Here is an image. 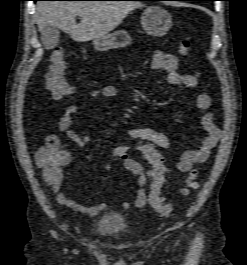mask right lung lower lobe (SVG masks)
<instances>
[{
    "label": "right lung lower lobe",
    "instance_id": "obj_1",
    "mask_svg": "<svg viewBox=\"0 0 247 265\" xmlns=\"http://www.w3.org/2000/svg\"><path fill=\"white\" fill-rule=\"evenodd\" d=\"M33 1H39V0H33ZM137 1H142V0H137Z\"/></svg>",
    "mask_w": 247,
    "mask_h": 265
}]
</instances>
